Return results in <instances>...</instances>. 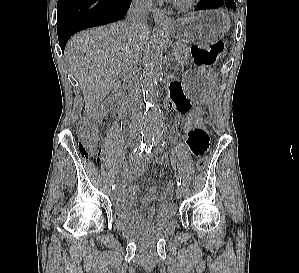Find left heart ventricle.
Segmentation results:
<instances>
[{"label":"left heart ventricle","instance_id":"obj_1","mask_svg":"<svg viewBox=\"0 0 299 273\" xmlns=\"http://www.w3.org/2000/svg\"><path fill=\"white\" fill-rule=\"evenodd\" d=\"M178 1H186V0H178Z\"/></svg>","mask_w":299,"mask_h":273}]
</instances>
